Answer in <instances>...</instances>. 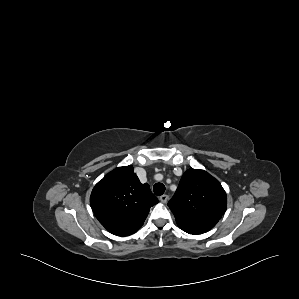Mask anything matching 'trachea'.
<instances>
[{
    "mask_svg": "<svg viewBox=\"0 0 299 299\" xmlns=\"http://www.w3.org/2000/svg\"><path fill=\"white\" fill-rule=\"evenodd\" d=\"M153 191L157 196H161L165 192V186L162 183H156L153 186Z\"/></svg>",
    "mask_w": 299,
    "mask_h": 299,
    "instance_id": "1",
    "label": "trachea"
}]
</instances>
